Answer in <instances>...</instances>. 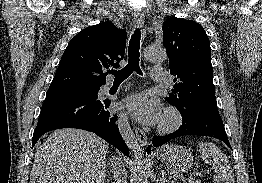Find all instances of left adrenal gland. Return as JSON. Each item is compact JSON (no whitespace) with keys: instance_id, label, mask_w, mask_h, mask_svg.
Returning <instances> with one entry per match:
<instances>
[{"instance_id":"left-adrenal-gland-1","label":"left adrenal gland","mask_w":262,"mask_h":183,"mask_svg":"<svg viewBox=\"0 0 262 183\" xmlns=\"http://www.w3.org/2000/svg\"><path fill=\"white\" fill-rule=\"evenodd\" d=\"M160 183H173L171 180H169V179H167L166 177H165V172H164V170L161 172V177H160Z\"/></svg>"}]
</instances>
